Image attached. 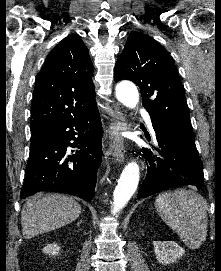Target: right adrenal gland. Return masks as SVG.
Here are the masks:
<instances>
[{"label":"right adrenal gland","instance_id":"1","mask_svg":"<svg viewBox=\"0 0 221 271\" xmlns=\"http://www.w3.org/2000/svg\"><path fill=\"white\" fill-rule=\"evenodd\" d=\"M80 223H82V219H80L79 223H77V225H80Z\"/></svg>","mask_w":221,"mask_h":271}]
</instances>
